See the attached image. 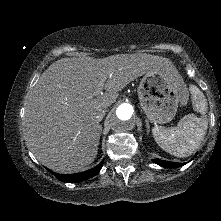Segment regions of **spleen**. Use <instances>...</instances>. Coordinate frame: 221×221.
Wrapping results in <instances>:
<instances>
[{"label":"spleen","mask_w":221,"mask_h":221,"mask_svg":"<svg viewBox=\"0 0 221 221\" xmlns=\"http://www.w3.org/2000/svg\"><path fill=\"white\" fill-rule=\"evenodd\" d=\"M193 108L202 114L184 116L174 128L154 126L152 129L156 143L166 152L176 157L190 156L201 144L208 128L207 119L204 117L207 111V100L204 94L195 85H190Z\"/></svg>","instance_id":"spleen-1"}]
</instances>
